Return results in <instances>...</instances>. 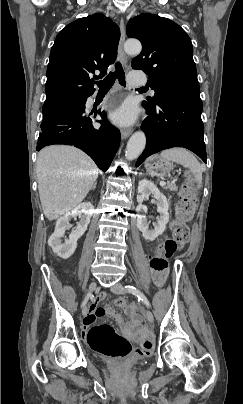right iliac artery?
<instances>
[{
    "label": "right iliac artery",
    "mask_w": 243,
    "mask_h": 404,
    "mask_svg": "<svg viewBox=\"0 0 243 404\" xmlns=\"http://www.w3.org/2000/svg\"><path fill=\"white\" fill-rule=\"evenodd\" d=\"M90 296H91L90 294H88V295L86 296V298L84 299V301H83V303H82V307L86 304V302L88 301V299H89Z\"/></svg>",
    "instance_id": "right-iliac-artery-1"
}]
</instances>
